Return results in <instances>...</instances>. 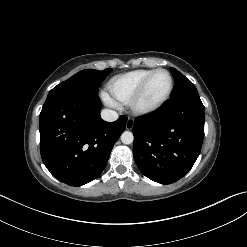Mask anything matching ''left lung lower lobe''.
Masks as SVG:
<instances>
[{"label":"left lung lower lobe","mask_w":247,"mask_h":247,"mask_svg":"<svg viewBox=\"0 0 247 247\" xmlns=\"http://www.w3.org/2000/svg\"><path fill=\"white\" fill-rule=\"evenodd\" d=\"M204 122L199 95L171 99L153 115L137 119L133 156L142 174L161 184L186 175L200 154Z\"/></svg>","instance_id":"1"}]
</instances>
